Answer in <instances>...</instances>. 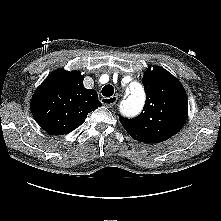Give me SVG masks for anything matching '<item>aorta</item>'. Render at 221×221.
Instances as JSON below:
<instances>
[{"mask_svg": "<svg viewBox=\"0 0 221 221\" xmlns=\"http://www.w3.org/2000/svg\"><path fill=\"white\" fill-rule=\"evenodd\" d=\"M145 101L144 91L140 85L131 84L128 87L127 99L123 103L122 110L129 115L137 114Z\"/></svg>", "mask_w": 221, "mask_h": 221, "instance_id": "762f6f07", "label": "aorta"}]
</instances>
